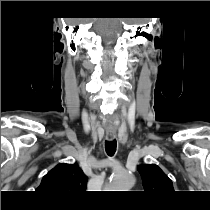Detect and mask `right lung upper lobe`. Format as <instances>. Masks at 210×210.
<instances>
[{
  "mask_svg": "<svg viewBox=\"0 0 210 210\" xmlns=\"http://www.w3.org/2000/svg\"><path fill=\"white\" fill-rule=\"evenodd\" d=\"M88 177L77 164L61 163L42 179L37 191L57 202L77 198L86 189Z\"/></svg>",
  "mask_w": 210,
  "mask_h": 210,
  "instance_id": "cb5924a9",
  "label": "right lung upper lobe"
}]
</instances>
